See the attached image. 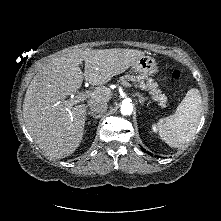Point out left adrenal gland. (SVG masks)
Here are the masks:
<instances>
[{
  "label": "left adrenal gland",
  "mask_w": 221,
  "mask_h": 221,
  "mask_svg": "<svg viewBox=\"0 0 221 221\" xmlns=\"http://www.w3.org/2000/svg\"><path fill=\"white\" fill-rule=\"evenodd\" d=\"M136 95L139 97L140 104L143 105L145 100H147V97H143L140 93H137Z\"/></svg>",
  "instance_id": "1"
}]
</instances>
